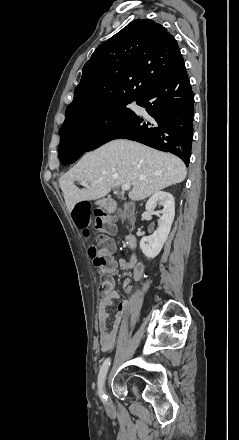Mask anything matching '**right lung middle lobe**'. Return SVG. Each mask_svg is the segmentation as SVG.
<instances>
[{"label":"right lung middle lobe","mask_w":239,"mask_h":440,"mask_svg":"<svg viewBox=\"0 0 239 440\" xmlns=\"http://www.w3.org/2000/svg\"><path fill=\"white\" fill-rule=\"evenodd\" d=\"M134 100L137 98H113L96 109L65 120L59 130L58 151L65 147H87L101 133L129 118L133 111L126 105Z\"/></svg>","instance_id":"dd1d6c3e"}]
</instances>
